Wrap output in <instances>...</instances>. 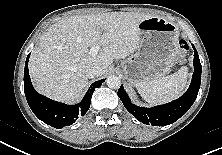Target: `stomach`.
Instances as JSON below:
<instances>
[{"label":"stomach","instance_id":"1","mask_svg":"<svg viewBox=\"0 0 222 155\" xmlns=\"http://www.w3.org/2000/svg\"><path fill=\"white\" fill-rule=\"evenodd\" d=\"M140 47L122 62L129 84L155 80L166 75L179 54V30L172 22L152 16L139 24Z\"/></svg>","mask_w":222,"mask_h":155}]
</instances>
